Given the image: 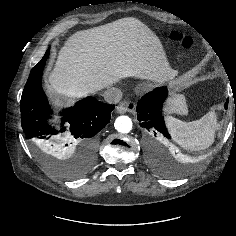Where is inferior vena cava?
I'll use <instances>...</instances> for the list:
<instances>
[{"instance_id": "602c4592", "label": "inferior vena cava", "mask_w": 236, "mask_h": 236, "mask_svg": "<svg viewBox=\"0 0 236 236\" xmlns=\"http://www.w3.org/2000/svg\"><path fill=\"white\" fill-rule=\"evenodd\" d=\"M122 91L116 87L108 88L103 96L106 102L116 104L122 99Z\"/></svg>"}]
</instances>
